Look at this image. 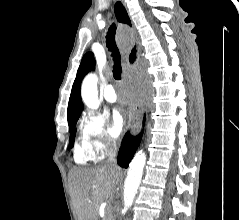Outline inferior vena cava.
<instances>
[{"label":"inferior vena cava","instance_id":"1","mask_svg":"<svg viewBox=\"0 0 239 220\" xmlns=\"http://www.w3.org/2000/svg\"><path fill=\"white\" fill-rule=\"evenodd\" d=\"M117 152V144L115 141L108 140L106 143V154L108 156V162L114 163Z\"/></svg>","mask_w":239,"mask_h":220}]
</instances>
